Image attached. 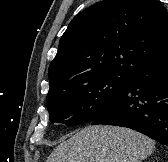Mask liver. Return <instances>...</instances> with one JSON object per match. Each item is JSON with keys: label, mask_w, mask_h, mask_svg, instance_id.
<instances>
[{"label": "liver", "mask_w": 168, "mask_h": 162, "mask_svg": "<svg viewBox=\"0 0 168 162\" xmlns=\"http://www.w3.org/2000/svg\"><path fill=\"white\" fill-rule=\"evenodd\" d=\"M155 141L125 127L88 126L60 143L46 162H142Z\"/></svg>", "instance_id": "6515ba94"}]
</instances>
